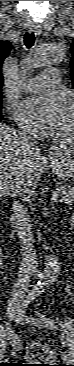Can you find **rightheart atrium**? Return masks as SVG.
Here are the masks:
<instances>
[{
	"instance_id": "right-heart-atrium-1",
	"label": "right heart atrium",
	"mask_w": 74,
	"mask_h": 366,
	"mask_svg": "<svg viewBox=\"0 0 74 366\" xmlns=\"http://www.w3.org/2000/svg\"><path fill=\"white\" fill-rule=\"evenodd\" d=\"M9 110H10V113L13 115L14 119L16 122H20L18 123L19 127L20 128H27V125L21 120L20 116H15V110H16V106L14 104H12L10 107H9ZM25 126H23V125Z\"/></svg>"
}]
</instances>
